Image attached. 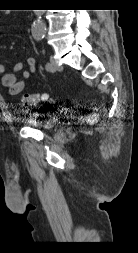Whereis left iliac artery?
I'll list each match as a JSON object with an SVG mask.
<instances>
[{
    "label": "left iliac artery",
    "instance_id": "left-iliac-artery-1",
    "mask_svg": "<svg viewBox=\"0 0 138 253\" xmlns=\"http://www.w3.org/2000/svg\"><path fill=\"white\" fill-rule=\"evenodd\" d=\"M45 68H46V70L50 71V70L52 69V66H51L50 63H47V64L45 65Z\"/></svg>",
    "mask_w": 138,
    "mask_h": 253
}]
</instances>
